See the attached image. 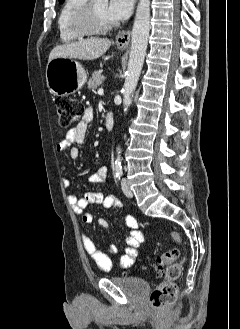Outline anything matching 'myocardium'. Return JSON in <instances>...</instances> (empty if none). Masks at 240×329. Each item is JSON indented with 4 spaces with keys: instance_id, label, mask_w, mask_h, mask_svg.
I'll return each instance as SVG.
<instances>
[{
    "instance_id": "obj_1",
    "label": "myocardium",
    "mask_w": 240,
    "mask_h": 329,
    "mask_svg": "<svg viewBox=\"0 0 240 329\" xmlns=\"http://www.w3.org/2000/svg\"><path fill=\"white\" fill-rule=\"evenodd\" d=\"M75 28L82 33L97 34L107 32L114 27L113 23L102 21L96 14L93 0H86L74 20Z\"/></svg>"
}]
</instances>
